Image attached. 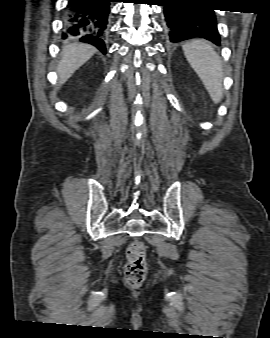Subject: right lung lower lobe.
<instances>
[{"mask_svg":"<svg viewBox=\"0 0 270 338\" xmlns=\"http://www.w3.org/2000/svg\"><path fill=\"white\" fill-rule=\"evenodd\" d=\"M115 0H68L62 38L78 37L106 53L110 3Z\"/></svg>","mask_w":270,"mask_h":338,"instance_id":"right-lung-lower-lobe-1","label":"right lung lower lobe"}]
</instances>
